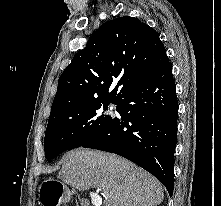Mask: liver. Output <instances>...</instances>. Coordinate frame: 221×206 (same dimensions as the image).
<instances>
[{
  "label": "liver",
  "mask_w": 221,
  "mask_h": 206,
  "mask_svg": "<svg viewBox=\"0 0 221 206\" xmlns=\"http://www.w3.org/2000/svg\"><path fill=\"white\" fill-rule=\"evenodd\" d=\"M59 178L79 190L103 191L104 206H157L161 183L131 161L112 153L78 148L63 157Z\"/></svg>",
  "instance_id": "liver-1"
}]
</instances>
